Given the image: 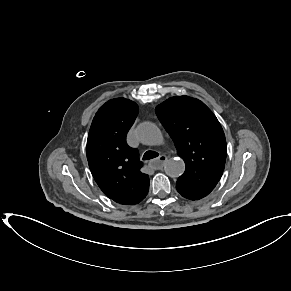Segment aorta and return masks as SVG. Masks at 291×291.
<instances>
[{
    "label": "aorta",
    "instance_id": "762f6f07",
    "mask_svg": "<svg viewBox=\"0 0 291 291\" xmlns=\"http://www.w3.org/2000/svg\"><path fill=\"white\" fill-rule=\"evenodd\" d=\"M137 137L141 143L149 146H157L163 142L160 129L152 122H143L137 127ZM185 171V163L180 158L170 159L165 165V172L171 177H179Z\"/></svg>",
    "mask_w": 291,
    "mask_h": 291
}]
</instances>
